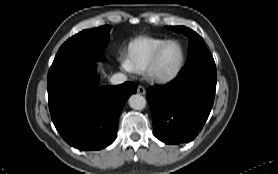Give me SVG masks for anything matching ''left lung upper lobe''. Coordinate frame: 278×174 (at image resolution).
I'll use <instances>...</instances> for the list:
<instances>
[{
	"mask_svg": "<svg viewBox=\"0 0 278 174\" xmlns=\"http://www.w3.org/2000/svg\"><path fill=\"white\" fill-rule=\"evenodd\" d=\"M175 32H180L188 37L189 40V54L185 66L181 69L179 74H187L196 70H206L216 73V66L213 56L207 50L204 40L193 30L184 27H171Z\"/></svg>",
	"mask_w": 278,
	"mask_h": 174,
	"instance_id": "obj_1",
	"label": "left lung upper lobe"
}]
</instances>
